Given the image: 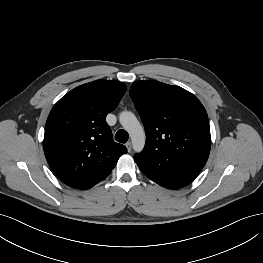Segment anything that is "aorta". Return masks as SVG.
Segmentation results:
<instances>
[{"instance_id": "762f6f07", "label": "aorta", "mask_w": 263, "mask_h": 263, "mask_svg": "<svg viewBox=\"0 0 263 263\" xmlns=\"http://www.w3.org/2000/svg\"><path fill=\"white\" fill-rule=\"evenodd\" d=\"M119 121L131 137L134 151H142L145 145L146 136L136 116L130 111H124L120 113Z\"/></svg>"}]
</instances>
